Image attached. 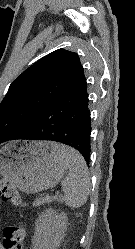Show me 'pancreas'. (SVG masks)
Segmentation results:
<instances>
[{
  "label": "pancreas",
  "mask_w": 135,
  "mask_h": 249,
  "mask_svg": "<svg viewBox=\"0 0 135 249\" xmlns=\"http://www.w3.org/2000/svg\"><path fill=\"white\" fill-rule=\"evenodd\" d=\"M53 201V198H51L50 196H46V197H41V198H37L34 202H33V206H40L46 203H50Z\"/></svg>",
  "instance_id": "pancreas-1"
}]
</instances>
